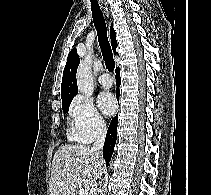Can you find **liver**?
Here are the masks:
<instances>
[{
    "label": "liver",
    "mask_w": 211,
    "mask_h": 195,
    "mask_svg": "<svg viewBox=\"0 0 211 195\" xmlns=\"http://www.w3.org/2000/svg\"><path fill=\"white\" fill-rule=\"evenodd\" d=\"M103 165L100 153L87 145H61L52 160L49 195H75L78 185L88 193L101 175Z\"/></svg>",
    "instance_id": "liver-1"
}]
</instances>
